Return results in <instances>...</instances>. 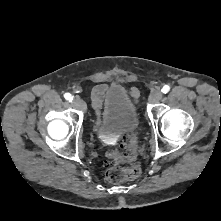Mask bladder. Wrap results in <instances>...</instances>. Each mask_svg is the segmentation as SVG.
<instances>
[{"instance_id": "31cf9c89", "label": "bladder", "mask_w": 221, "mask_h": 221, "mask_svg": "<svg viewBox=\"0 0 221 221\" xmlns=\"http://www.w3.org/2000/svg\"><path fill=\"white\" fill-rule=\"evenodd\" d=\"M139 114L134 99L120 84L114 83L106 91L97 134L100 138L136 129L139 126Z\"/></svg>"}]
</instances>
